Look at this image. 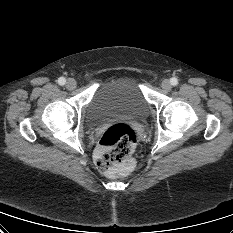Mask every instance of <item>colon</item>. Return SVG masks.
<instances>
[{"label":"colon","instance_id":"1","mask_svg":"<svg viewBox=\"0 0 233 233\" xmlns=\"http://www.w3.org/2000/svg\"><path fill=\"white\" fill-rule=\"evenodd\" d=\"M137 145V135L127 123L109 126L103 133L95 156L97 168L108 175L123 172Z\"/></svg>","mask_w":233,"mask_h":233}]
</instances>
